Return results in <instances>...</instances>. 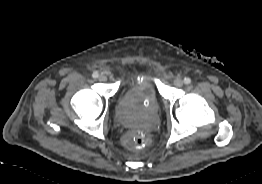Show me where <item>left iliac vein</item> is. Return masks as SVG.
I'll list each match as a JSON object with an SVG mask.
<instances>
[{
    "instance_id": "obj_1",
    "label": "left iliac vein",
    "mask_w": 262,
    "mask_h": 184,
    "mask_svg": "<svg viewBox=\"0 0 262 184\" xmlns=\"http://www.w3.org/2000/svg\"><path fill=\"white\" fill-rule=\"evenodd\" d=\"M174 85L177 87H181L183 85V80L181 78H176L173 81Z\"/></svg>"
}]
</instances>
